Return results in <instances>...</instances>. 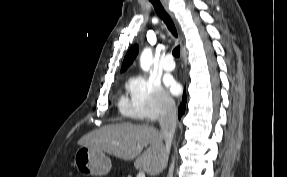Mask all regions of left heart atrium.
Here are the masks:
<instances>
[{"label": "left heart atrium", "mask_w": 287, "mask_h": 177, "mask_svg": "<svg viewBox=\"0 0 287 177\" xmlns=\"http://www.w3.org/2000/svg\"><path fill=\"white\" fill-rule=\"evenodd\" d=\"M164 81L171 94L178 95L181 92V85L173 77L167 76Z\"/></svg>", "instance_id": "left-heart-atrium-1"}]
</instances>
